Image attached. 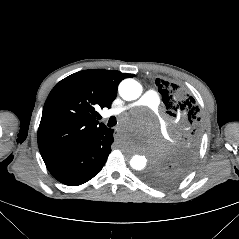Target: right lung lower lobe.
<instances>
[{
    "label": "right lung lower lobe",
    "mask_w": 239,
    "mask_h": 239,
    "mask_svg": "<svg viewBox=\"0 0 239 239\" xmlns=\"http://www.w3.org/2000/svg\"><path fill=\"white\" fill-rule=\"evenodd\" d=\"M113 131L105 128L85 143L45 159L47 169L65 185L77 186L89 181L101 171L111 152Z\"/></svg>",
    "instance_id": "98d812e1"
}]
</instances>
